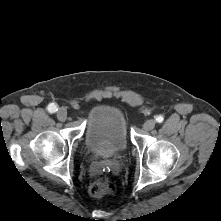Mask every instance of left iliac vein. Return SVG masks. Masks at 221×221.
Returning a JSON list of instances; mask_svg holds the SVG:
<instances>
[{"label":"left iliac vein","instance_id":"left-iliac-vein-1","mask_svg":"<svg viewBox=\"0 0 221 221\" xmlns=\"http://www.w3.org/2000/svg\"><path fill=\"white\" fill-rule=\"evenodd\" d=\"M155 120L154 119H149L147 121H145V123L143 124V129L144 130H152L155 127Z\"/></svg>","mask_w":221,"mask_h":221}]
</instances>
